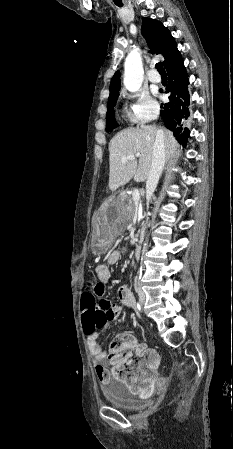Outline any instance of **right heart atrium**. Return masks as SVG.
<instances>
[{
    "label": "right heart atrium",
    "instance_id": "right-heart-atrium-1",
    "mask_svg": "<svg viewBox=\"0 0 233 449\" xmlns=\"http://www.w3.org/2000/svg\"><path fill=\"white\" fill-rule=\"evenodd\" d=\"M130 117L139 124L154 120L159 114L158 102L146 91L140 90L130 95Z\"/></svg>",
    "mask_w": 233,
    "mask_h": 449
}]
</instances>
